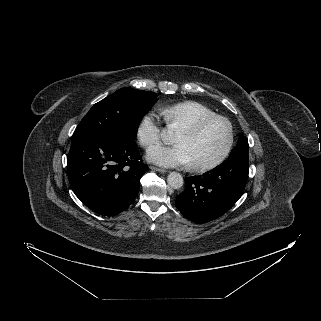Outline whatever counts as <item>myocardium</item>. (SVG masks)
<instances>
[{"instance_id": "1", "label": "myocardium", "mask_w": 321, "mask_h": 321, "mask_svg": "<svg viewBox=\"0 0 321 321\" xmlns=\"http://www.w3.org/2000/svg\"><path fill=\"white\" fill-rule=\"evenodd\" d=\"M215 121L222 122L227 129L228 136H227L226 144H225L223 150L221 151V153L214 160L207 162V163L191 164L190 168L193 171L204 172V171L212 170V169L218 167L220 164H222L225 161V159L230 154L233 144H234V127L228 118L215 114L212 116H207V117L201 118V119L195 121L194 123L182 128V130L187 133L196 134V133L200 132L204 127H206L208 124L215 122Z\"/></svg>"}]
</instances>
